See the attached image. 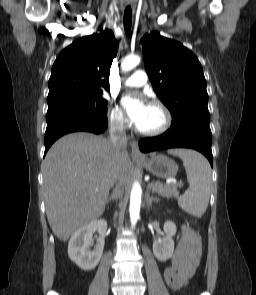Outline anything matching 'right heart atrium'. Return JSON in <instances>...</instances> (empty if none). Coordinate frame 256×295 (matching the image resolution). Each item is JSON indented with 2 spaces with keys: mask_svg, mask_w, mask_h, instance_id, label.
Returning a JSON list of instances; mask_svg holds the SVG:
<instances>
[{
  "mask_svg": "<svg viewBox=\"0 0 256 295\" xmlns=\"http://www.w3.org/2000/svg\"><path fill=\"white\" fill-rule=\"evenodd\" d=\"M108 120L110 125L119 131H122L126 128V119L117 106H112L108 112Z\"/></svg>",
  "mask_w": 256,
  "mask_h": 295,
  "instance_id": "d8ad5b80",
  "label": "right heart atrium"
}]
</instances>
